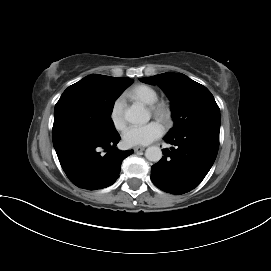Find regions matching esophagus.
<instances>
[{
    "label": "esophagus",
    "mask_w": 271,
    "mask_h": 271,
    "mask_svg": "<svg viewBox=\"0 0 271 271\" xmlns=\"http://www.w3.org/2000/svg\"><path fill=\"white\" fill-rule=\"evenodd\" d=\"M144 150H145V147H142V146H136V147H134V151H135L136 153L142 152V151H144Z\"/></svg>",
    "instance_id": "esophagus-1"
}]
</instances>
